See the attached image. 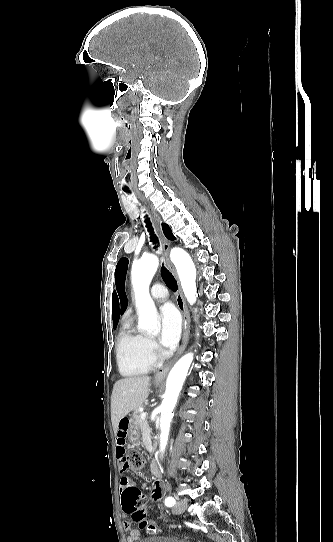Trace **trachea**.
<instances>
[{
    "mask_svg": "<svg viewBox=\"0 0 333 542\" xmlns=\"http://www.w3.org/2000/svg\"><path fill=\"white\" fill-rule=\"evenodd\" d=\"M126 192L130 193L128 190H126ZM145 222H146V226L148 228V231L150 233L151 242L155 245V248H157L158 238L156 237V235L153 232V227H152V224L150 222V219L147 217ZM162 277L165 280V283L167 284V286L171 290H173V291L177 290V282H176V280L174 279L171 272H169V270H167L164 266H162Z\"/></svg>",
    "mask_w": 333,
    "mask_h": 542,
    "instance_id": "obj_1",
    "label": "trachea"
}]
</instances>
